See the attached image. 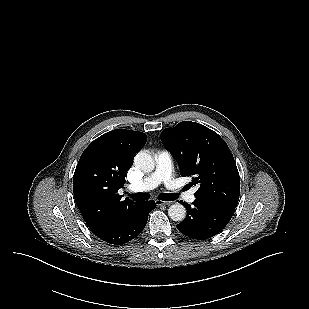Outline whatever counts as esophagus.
<instances>
[{
    "label": "esophagus",
    "mask_w": 309,
    "mask_h": 309,
    "mask_svg": "<svg viewBox=\"0 0 309 309\" xmlns=\"http://www.w3.org/2000/svg\"><path fill=\"white\" fill-rule=\"evenodd\" d=\"M156 206H169L172 204V202H165L161 200H156L155 201Z\"/></svg>",
    "instance_id": "esophagus-1"
}]
</instances>
